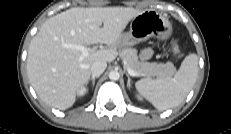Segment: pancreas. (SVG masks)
Wrapping results in <instances>:
<instances>
[{"mask_svg": "<svg viewBox=\"0 0 231 134\" xmlns=\"http://www.w3.org/2000/svg\"><path fill=\"white\" fill-rule=\"evenodd\" d=\"M119 54L124 61L125 68L134 70L139 73L140 76L163 78L172 76L176 71L172 62L150 63L139 61L136 49L123 48Z\"/></svg>", "mask_w": 231, "mask_h": 134, "instance_id": "pancreas-1", "label": "pancreas"}]
</instances>
